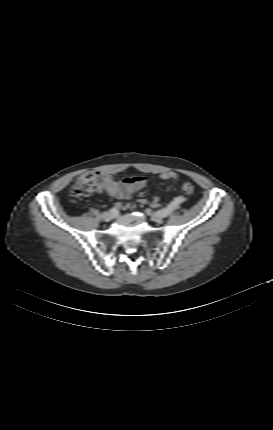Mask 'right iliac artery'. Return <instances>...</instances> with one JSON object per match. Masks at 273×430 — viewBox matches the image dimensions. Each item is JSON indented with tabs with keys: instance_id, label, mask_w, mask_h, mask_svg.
I'll return each instance as SVG.
<instances>
[{
	"instance_id": "obj_1",
	"label": "right iliac artery",
	"mask_w": 273,
	"mask_h": 430,
	"mask_svg": "<svg viewBox=\"0 0 273 430\" xmlns=\"http://www.w3.org/2000/svg\"><path fill=\"white\" fill-rule=\"evenodd\" d=\"M111 210L113 211L114 214L118 213V209L116 207L112 208Z\"/></svg>"
}]
</instances>
